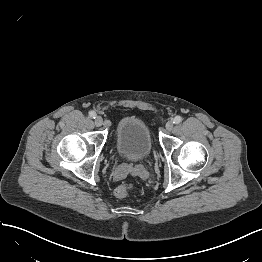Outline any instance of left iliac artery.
<instances>
[{"mask_svg":"<svg viewBox=\"0 0 262 262\" xmlns=\"http://www.w3.org/2000/svg\"><path fill=\"white\" fill-rule=\"evenodd\" d=\"M181 121H182V117H181V116H176V117L173 119V123H174V124H179Z\"/></svg>","mask_w":262,"mask_h":262,"instance_id":"1","label":"left iliac artery"}]
</instances>
